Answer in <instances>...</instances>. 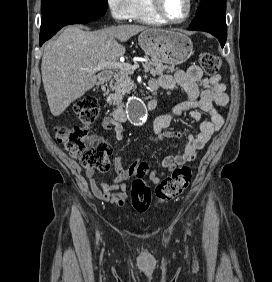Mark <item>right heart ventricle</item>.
<instances>
[{
    "label": "right heart ventricle",
    "mask_w": 272,
    "mask_h": 282,
    "mask_svg": "<svg viewBox=\"0 0 272 282\" xmlns=\"http://www.w3.org/2000/svg\"><path fill=\"white\" fill-rule=\"evenodd\" d=\"M139 12L133 16V19L139 20L143 23L152 25H163L166 24L164 20L159 18L150 8L149 0H138Z\"/></svg>",
    "instance_id": "e07e8e85"
}]
</instances>
